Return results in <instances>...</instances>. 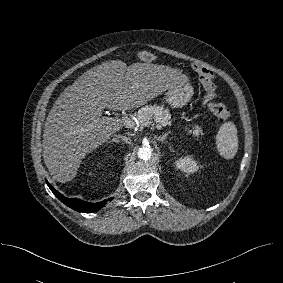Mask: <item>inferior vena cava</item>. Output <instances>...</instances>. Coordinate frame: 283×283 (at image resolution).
Instances as JSON below:
<instances>
[{"mask_svg":"<svg viewBox=\"0 0 283 283\" xmlns=\"http://www.w3.org/2000/svg\"><path fill=\"white\" fill-rule=\"evenodd\" d=\"M117 137L120 138L123 142H125L127 144L131 143V139L129 137L121 136V135H118Z\"/></svg>","mask_w":283,"mask_h":283,"instance_id":"602c4592","label":"inferior vena cava"}]
</instances>
